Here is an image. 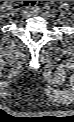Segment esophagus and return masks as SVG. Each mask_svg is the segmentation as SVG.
<instances>
[{
  "label": "esophagus",
  "mask_w": 74,
  "mask_h": 122,
  "mask_svg": "<svg viewBox=\"0 0 74 122\" xmlns=\"http://www.w3.org/2000/svg\"><path fill=\"white\" fill-rule=\"evenodd\" d=\"M38 8L37 7H34V6H28L27 7V12L34 15V14H37L38 13Z\"/></svg>",
  "instance_id": "obj_1"
}]
</instances>
